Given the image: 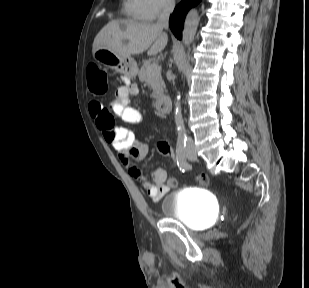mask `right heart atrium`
Instances as JSON below:
<instances>
[{
    "instance_id": "right-heart-atrium-1",
    "label": "right heart atrium",
    "mask_w": 309,
    "mask_h": 288,
    "mask_svg": "<svg viewBox=\"0 0 309 288\" xmlns=\"http://www.w3.org/2000/svg\"><path fill=\"white\" fill-rule=\"evenodd\" d=\"M147 10L149 19H155L170 11L174 6V0H142Z\"/></svg>"
}]
</instances>
